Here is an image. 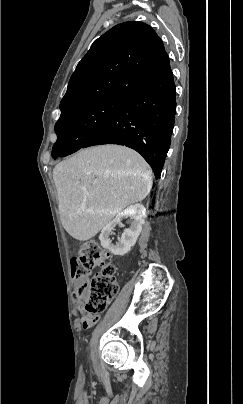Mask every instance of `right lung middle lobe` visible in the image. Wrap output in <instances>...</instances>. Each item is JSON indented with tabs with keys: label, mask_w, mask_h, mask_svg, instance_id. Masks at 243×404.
<instances>
[{
	"label": "right lung middle lobe",
	"mask_w": 243,
	"mask_h": 404,
	"mask_svg": "<svg viewBox=\"0 0 243 404\" xmlns=\"http://www.w3.org/2000/svg\"><path fill=\"white\" fill-rule=\"evenodd\" d=\"M125 101L123 98L94 100L61 114L55 124L58 138L53 146L52 157H65L83 148Z\"/></svg>",
	"instance_id": "right-lung-middle-lobe-1"
}]
</instances>
